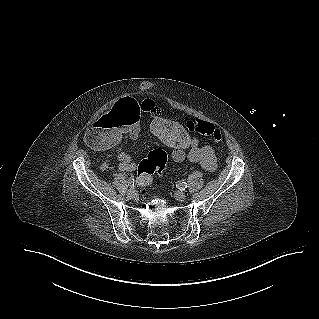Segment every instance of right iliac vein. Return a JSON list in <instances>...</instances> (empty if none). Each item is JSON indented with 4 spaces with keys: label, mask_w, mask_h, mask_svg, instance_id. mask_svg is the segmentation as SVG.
<instances>
[{
    "label": "right iliac vein",
    "mask_w": 319,
    "mask_h": 319,
    "mask_svg": "<svg viewBox=\"0 0 319 319\" xmlns=\"http://www.w3.org/2000/svg\"><path fill=\"white\" fill-rule=\"evenodd\" d=\"M127 196H128L129 198H131V199L136 198V197H137V191H136V189H135V188L129 189L128 192H127Z\"/></svg>",
    "instance_id": "obj_1"
}]
</instances>
